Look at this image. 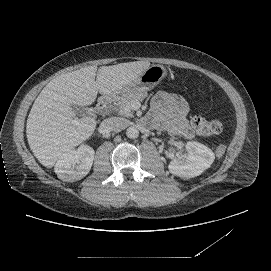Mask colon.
I'll return each mask as SVG.
<instances>
[{
  "label": "colon",
  "instance_id": "5ec220e1",
  "mask_svg": "<svg viewBox=\"0 0 271 271\" xmlns=\"http://www.w3.org/2000/svg\"><path fill=\"white\" fill-rule=\"evenodd\" d=\"M193 127L196 133L203 137L213 136L220 133L223 129L221 122L208 119L206 117L197 115L192 120ZM226 152V145L220 144L216 147L215 153L221 157Z\"/></svg>",
  "mask_w": 271,
  "mask_h": 271
}]
</instances>
